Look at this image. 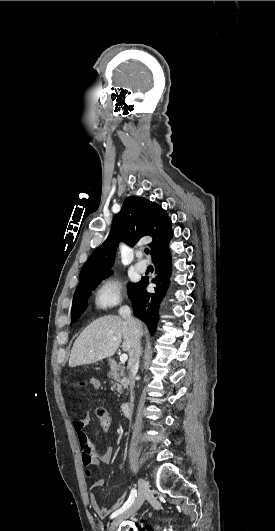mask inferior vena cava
Segmentation results:
<instances>
[{
    "mask_svg": "<svg viewBox=\"0 0 275 531\" xmlns=\"http://www.w3.org/2000/svg\"><path fill=\"white\" fill-rule=\"evenodd\" d=\"M130 313L131 311L129 307H121L120 315L121 317H123V319H125L126 323H128L131 329V333H132V341H131L130 349L128 351L129 361H128L127 369H129L130 391L131 393H133V389L135 385V377H136V373L139 367L141 345H140V331L138 329V325L135 319L131 317Z\"/></svg>",
    "mask_w": 275,
    "mask_h": 531,
    "instance_id": "1",
    "label": "inferior vena cava"
}]
</instances>
